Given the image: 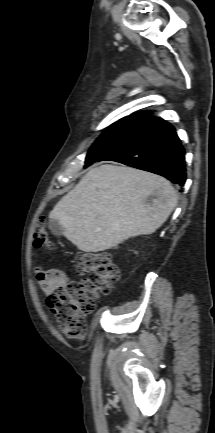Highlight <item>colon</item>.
<instances>
[{"mask_svg": "<svg viewBox=\"0 0 215 433\" xmlns=\"http://www.w3.org/2000/svg\"><path fill=\"white\" fill-rule=\"evenodd\" d=\"M33 244L38 249L51 246L44 219L35 225ZM76 269L86 278L58 289L47 302L60 330L67 337L82 339L87 333L88 315L94 311L97 298L107 294L119 278V269L108 251L80 254Z\"/></svg>", "mask_w": 215, "mask_h": 433, "instance_id": "5ec220e1", "label": "colon"}]
</instances>
